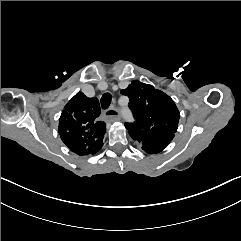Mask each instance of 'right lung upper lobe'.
I'll return each instance as SVG.
<instances>
[{"mask_svg": "<svg viewBox=\"0 0 241 241\" xmlns=\"http://www.w3.org/2000/svg\"><path fill=\"white\" fill-rule=\"evenodd\" d=\"M97 98L78 92L64 107L59 119V134L65 145L80 156L94 155L103 146L106 124L99 120Z\"/></svg>", "mask_w": 241, "mask_h": 241, "instance_id": "obj_1", "label": "right lung upper lobe"}]
</instances>
